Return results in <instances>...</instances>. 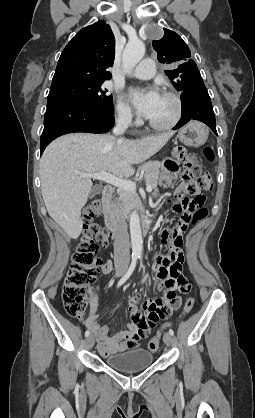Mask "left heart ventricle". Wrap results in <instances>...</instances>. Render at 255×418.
<instances>
[{
	"label": "left heart ventricle",
	"instance_id": "b2bd125f",
	"mask_svg": "<svg viewBox=\"0 0 255 418\" xmlns=\"http://www.w3.org/2000/svg\"><path fill=\"white\" fill-rule=\"evenodd\" d=\"M175 112V104L172 99L161 96L157 107L155 108L153 114L149 118V120L164 124L167 123L174 115Z\"/></svg>",
	"mask_w": 255,
	"mask_h": 418
}]
</instances>
